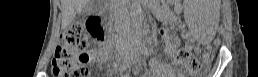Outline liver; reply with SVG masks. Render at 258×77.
Here are the masks:
<instances>
[{
  "mask_svg": "<svg viewBox=\"0 0 258 77\" xmlns=\"http://www.w3.org/2000/svg\"><path fill=\"white\" fill-rule=\"evenodd\" d=\"M89 0H61L62 5V27H68L74 20L77 13H80L83 6L87 5Z\"/></svg>",
  "mask_w": 258,
  "mask_h": 77,
  "instance_id": "1",
  "label": "liver"
}]
</instances>
